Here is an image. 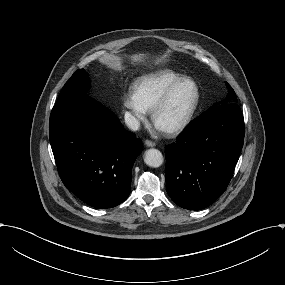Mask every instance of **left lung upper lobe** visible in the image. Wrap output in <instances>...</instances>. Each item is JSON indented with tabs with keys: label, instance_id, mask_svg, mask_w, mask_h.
<instances>
[{
	"label": "left lung upper lobe",
	"instance_id": "1",
	"mask_svg": "<svg viewBox=\"0 0 285 285\" xmlns=\"http://www.w3.org/2000/svg\"><path fill=\"white\" fill-rule=\"evenodd\" d=\"M225 84H226L227 88L229 89V94H228L227 99L222 101L221 104H219V105L234 103L235 99H236V94H235L234 90L231 88V86L227 82H225ZM219 105L215 104L213 107H216V106H219ZM213 107H211V108H213Z\"/></svg>",
	"mask_w": 285,
	"mask_h": 285
}]
</instances>
